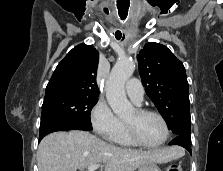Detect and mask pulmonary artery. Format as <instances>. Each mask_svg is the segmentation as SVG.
<instances>
[{
    "label": "pulmonary artery",
    "mask_w": 223,
    "mask_h": 171,
    "mask_svg": "<svg viewBox=\"0 0 223 171\" xmlns=\"http://www.w3.org/2000/svg\"><path fill=\"white\" fill-rule=\"evenodd\" d=\"M125 89L127 95L135 104L140 105L142 103L144 97V88L138 79L132 78L128 80Z\"/></svg>",
    "instance_id": "e3ab8cb5"
}]
</instances>
